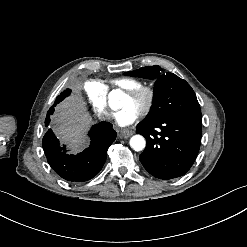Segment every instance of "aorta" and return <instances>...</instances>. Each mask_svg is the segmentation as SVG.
Here are the masks:
<instances>
[{"label":"aorta","instance_id":"1","mask_svg":"<svg viewBox=\"0 0 247 247\" xmlns=\"http://www.w3.org/2000/svg\"><path fill=\"white\" fill-rule=\"evenodd\" d=\"M109 98H110V101H114L117 96L114 92H111L109 94ZM130 146L131 148H133L135 151H141L145 148L146 146V141L145 139L143 138V136L141 135H134L131 139H130Z\"/></svg>","mask_w":247,"mask_h":247}]
</instances>
